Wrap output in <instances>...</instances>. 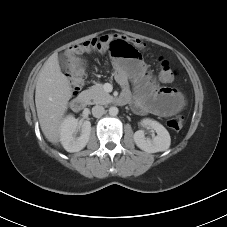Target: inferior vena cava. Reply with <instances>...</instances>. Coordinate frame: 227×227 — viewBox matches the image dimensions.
Segmentation results:
<instances>
[{"instance_id": "inferior-vena-cava-1", "label": "inferior vena cava", "mask_w": 227, "mask_h": 227, "mask_svg": "<svg viewBox=\"0 0 227 227\" xmlns=\"http://www.w3.org/2000/svg\"><path fill=\"white\" fill-rule=\"evenodd\" d=\"M92 114L94 117H101L103 114H105V109L103 106L96 105L92 108Z\"/></svg>"}]
</instances>
